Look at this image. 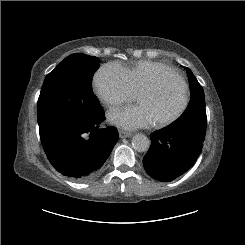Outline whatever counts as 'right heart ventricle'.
<instances>
[{"label": "right heart ventricle", "mask_w": 245, "mask_h": 245, "mask_svg": "<svg viewBox=\"0 0 245 245\" xmlns=\"http://www.w3.org/2000/svg\"><path fill=\"white\" fill-rule=\"evenodd\" d=\"M165 64L151 61H140L133 67L126 69L136 93L144 87L153 84L159 73L169 69Z\"/></svg>", "instance_id": "obj_1"}]
</instances>
